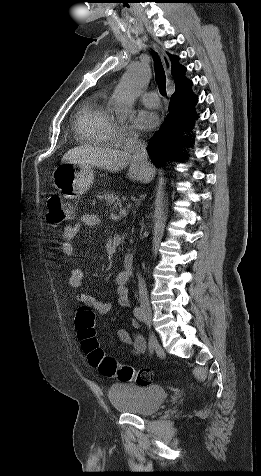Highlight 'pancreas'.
Listing matches in <instances>:
<instances>
[{"instance_id": "pancreas-1", "label": "pancreas", "mask_w": 261, "mask_h": 476, "mask_svg": "<svg viewBox=\"0 0 261 476\" xmlns=\"http://www.w3.org/2000/svg\"><path fill=\"white\" fill-rule=\"evenodd\" d=\"M99 198L105 201L110 212L118 210L122 207V201L120 200L119 196L114 193H104L102 196H99Z\"/></svg>"}]
</instances>
